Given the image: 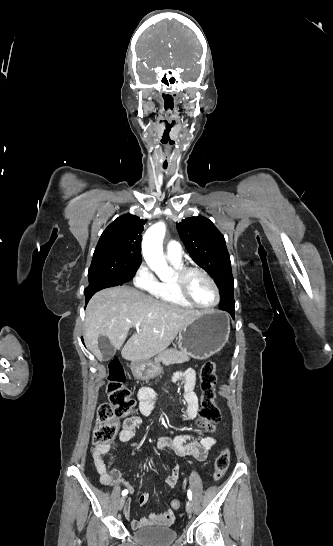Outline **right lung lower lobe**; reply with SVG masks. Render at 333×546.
I'll use <instances>...</instances> for the list:
<instances>
[{"label": "right lung lower lobe", "mask_w": 333, "mask_h": 546, "mask_svg": "<svg viewBox=\"0 0 333 546\" xmlns=\"http://www.w3.org/2000/svg\"><path fill=\"white\" fill-rule=\"evenodd\" d=\"M119 285L118 283L106 280H95L89 283V286L84 290L86 304L89 299L99 290Z\"/></svg>", "instance_id": "98d812e1"}]
</instances>
